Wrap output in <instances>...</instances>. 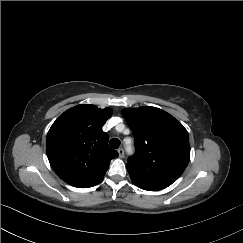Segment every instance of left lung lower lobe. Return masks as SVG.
I'll return each instance as SVG.
<instances>
[{
    "mask_svg": "<svg viewBox=\"0 0 243 243\" xmlns=\"http://www.w3.org/2000/svg\"><path fill=\"white\" fill-rule=\"evenodd\" d=\"M176 179H162L152 183H134L141 189L148 190V191H157L164 189L171 185Z\"/></svg>",
    "mask_w": 243,
    "mask_h": 243,
    "instance_id": "1",
    "label": "left lung lower lobe"
}]
</instances>
